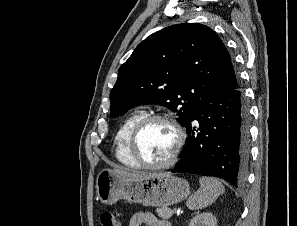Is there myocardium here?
Wrapping results in <instances>:
<instances>
[{
  "mask_svg": "<svg viewBox=\"0 0 297 226\" xmlns=\"http://www.w3.org/2000/svg\"><path fill=\"white\" fill-rule=\"evenodd\" d=\"M155 121H162L169 124L175 132L176 142H175L174 149L167 160L158 164H150L145 162L139 155L137 150V141L144 127L149 123L155 122ZM185 138L186 136L182 126L174 117L167 114H161V113L147 114L143 116L141 119H139L131 129V132L128 138V151L131 157L133 158V160L137 163V165L140 168L149 169V170L166 169L173 166L178 161L185 143Z\"/></svg>",
  "mask_w": 297,
  "mask_h": 226,
  "instance_id": "f54148a6",
  "label": "myocardium"
}]
</instances>
